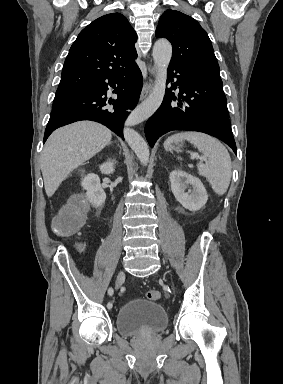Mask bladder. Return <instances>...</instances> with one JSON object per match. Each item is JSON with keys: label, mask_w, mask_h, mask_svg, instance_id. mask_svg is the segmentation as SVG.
Wrapping results in <instances>:
<instances>
[{"label": "bladder", "mask_w": 283, "mask_h": 384, "mask_svg": "<svg viewBox=\"0 0 283 384\" xmlns=\"http://www.w3.org/2000/svg\"><path fill=\"white\" fill-rule=\"evenodd\" d=\"M116 331L123 336L158 335L168 324L161 303L133 298L116 312Z\"/></svg>", "instance_id": "bladder-1"}]
</instances>
